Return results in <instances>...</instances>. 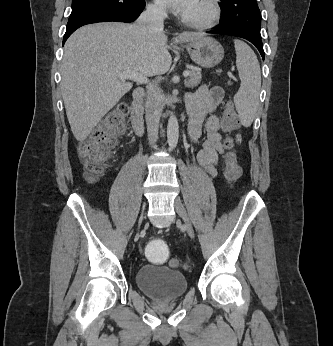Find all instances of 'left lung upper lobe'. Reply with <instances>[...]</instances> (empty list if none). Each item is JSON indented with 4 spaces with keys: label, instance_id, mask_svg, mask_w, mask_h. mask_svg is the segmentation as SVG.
I'll return each instance as SVG.
<instances>
[{
    "label": "left lung upper lobe",
    "instance_id": "1",
    "mask_svg": "<svg viewBox=\"0 0 333 346\" xmlns=\"http://www.w3.org/2000/svg\"><path fill=\"white\" fill-rule=\"evenodd\" d=\"M222 25H237L260 35L261 13L256 0H221Z\"/></svg>",
    "mask_w": 333,
    "mask_h": 346
}]
</instances>
